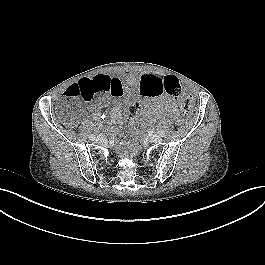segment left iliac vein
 Wrapping results in <instances>:
<instances>
[{
  "instance_id": "left-iliac-vein-1",
  "label": "left iliac vein",
  "mask_w": 265,
  "mask_h": 265,
  "mask_svg": "<svg viewBox=\"0 0 265 265\" xmlns=\"http://www.w3.org/2000/svg\"><path fill=\"white\" fill-rule=\"evenodd\" d=\"M150 141L153 143H159L162 141V138H161V136L154 134V135L150 136Z\"/></svg>"
}]
</instances>
